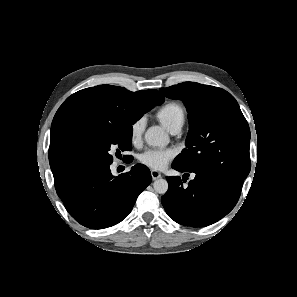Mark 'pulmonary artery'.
I'll return each instance as SVG.
<instances>
[{
    "label": "pulmonary artery",
    "instance_id": "obj_1",
    "mask_svg": "<svg viewBox=\"0 0 297 297\" xmlns=\"http://www.w3.org/2000/svg\"><path fill=\"white\" fill-rule=\"evenodd\" d=\"M179 130H180V129H176V130L172 131V133H173V134H176V133L179 132Z\"/></svg>",
    "mask_w": 297,
    "mask_h": 297
}]
</instances>
